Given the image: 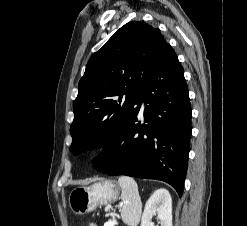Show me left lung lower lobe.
Returning <instances> with one entry per match:
<instances>
[{
  "instance_id": "0a47b994",
  "label": "left lung lower lobe",
  "mask_w": 247,
  "mask_h": 226,
  "mask_svg": "<svg viewBox=\"0 0 247 226\" xmlns=\"http://www.w3.org/2000/svg\"><path fill=\"white\" fill-rule=\"evenodd\" d=\"M143 100L146 107L141 123L137 115ZM191 116L184 71L167 43L142 86L133 112L121 125L116 139L94 160V168L112 176L164 181L181 197Z\"/></svg>"
}]
</instances>
